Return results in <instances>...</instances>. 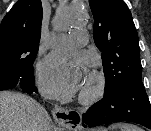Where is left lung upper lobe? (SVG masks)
<instances>
[{
    "label": "left lung upper lobe",
    "instance_id": "left-lung-upper-lobe-1",
    "mask_svg": "<svg viewBox=\"0 0 151 131\" xmlns=\"http://www.w3.org/2000/svg\"><path fill=\"white\" fill-rule=\"evenodd\" d=\"M94 16V41L102 52L105 92L142 77L140 49L132 15L123 0H89Z\"/></svg>",
    "mask_w": 151,
    "mask_h": 131
}]
</instances>
